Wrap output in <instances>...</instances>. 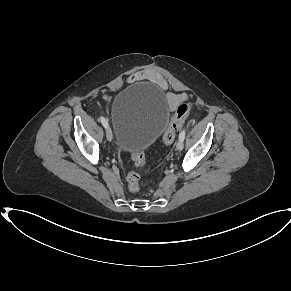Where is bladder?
Listing matches in <instances>:
<instances>
[{
	"label": "bladder",
	"mask_w": 291,
	"mask_h": 291,
	"mask_svg": "<svg viewBox=\"0 0 291 291\" xmlns=\"http://www.w3.org/2000/svg\"><path fill=\"white\" fill-rule=\"evenodd\" d=\"M169 116L162 91L145 84L128 86L111 106L117 148L133 153L146 150L159 137Z\"/></svg>",
	"instance_id": "1"
}]
</instances>
